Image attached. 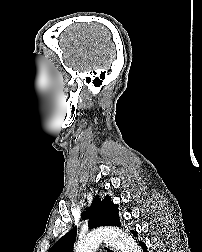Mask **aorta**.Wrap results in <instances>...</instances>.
<instances>
[{
  "label": "aorta",
  "instance_id": "1",
  "mask_svg": "<svg viewBox=\"0 0 202 252\" xmlns=\"http://www.w3.org/2000/svg\"><path fill=\"white\" fill-rule=\"evenodd\" d=\"M118 248L120 252H141L135 240L118 228H105L94 231L81 239L75 246V252H95L101 241Z\"/></svg>",
  "mask_w": 202,
  "mask_h": 252
}]
</instances>
